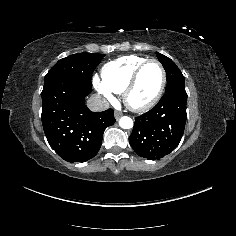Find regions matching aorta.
<instances>
[{
  "label": "aorta",
  "mask_w": 236,
  "mask_h": 236,
  "mask_svg": "<svg viewBox=\"0 0 236 236\" xmlns=\"http://www.w3.org/2000/svg\"><path fill=\"white\" fill-rule=\"evenodd\" d=\"M119 126L123 129H130L133 127V120L128 116H123L119 119Z\"/></svg>",
  "instance_id": "762f6f07"
}]
</instances>
